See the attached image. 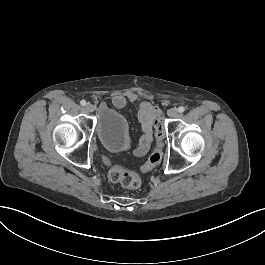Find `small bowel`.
<instances>
[{
  "mask_svg": "<svg viewBox=\"0 0 265 265\" xmlns=\"http://www.w3.org/2000/svg\"><path fill=\"white\" fill-rule=\"evenodd\" d=\"M128 102H138L139 104L138 116L143 126L144 136L140 146L136 148L134 153L140 157L145 155L150 147L152 138L151 127L156 118L157 109L149 101L141 100L135 93L124 95L115 92L112 94V103L116 108H123ZM108 165H110V162H108Z\"/></svg>",
  "mask_w": 265,
  "mask_h": 265,
  "instance_id": "c3829d8e",
  "label": "small bowel"
}]
</instances>
